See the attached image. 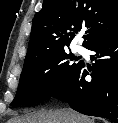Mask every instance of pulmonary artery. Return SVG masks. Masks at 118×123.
<instances>
[{
    "label": "pulmonary artery",
    "mask_w": 118,
    "mask_h": 123,
    "mask_svg": "<svg viewBox=\"0 0 118 123\" xmlns=\"http://www.w3.org/2000/svg\"><path fill=\"white\" fill-rule=\"evenodd\" d=\"M76 52L82 53L83 52V48L82 47H76Z\"/></svg>",
    "instance_id": "e3ab8cb5"
}]
</instances>
